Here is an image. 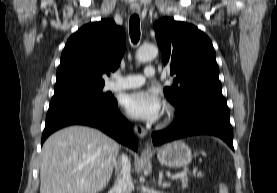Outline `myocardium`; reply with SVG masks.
I'll list each match as a JSON object with an SVG mask.
<instances>
[{"instance_id":"obj_1","label":"myocardium","mask_w":277,"mask_h":193,"mask_svg":"<svg viewBox=\"0 0 277 193\" xmlns=\"http://www.w3.org/2000/svg\"><path fill=\"white\" fill-rule=\"evenodd\" d=\"M173 114H174L173 107L170 104H166L161 124L163 125L167 123L172 118Z\"/></svg>"}]
</instances>
